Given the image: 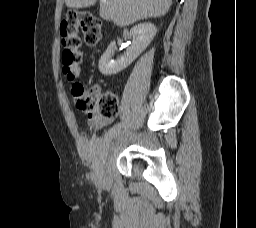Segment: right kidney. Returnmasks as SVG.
Listing matches in <instances>:
<instances>
[{"instance_id": "obj_1", "label": "right kidney", "mask_w": 256, "mask_h": 228, "mask_svg": "<svg viewBox=\"0 0 256 228\" xmlns=\"http://www.w3.org/2000/svg\"><path fill=\"white\" fill-rule=\"evenodd\" d=\"M157 28L151 23H141L130 30L133 43L120 59L112 60L111 55L116 49L115 41L111 42L99 60V70L103 75L111 76L127 68L151 43Z\"/></svg>"}]
</instances>
